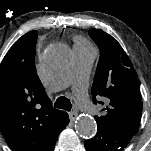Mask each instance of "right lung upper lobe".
Returning <instances> with one entry per match:
<instances>
[{"mask_svg":"<svg viewBox=\"0 0 151 151\" xmlns=\"http://www.w3.org/2000/svg\"><path fill=\"white\" fill-rule=\"evenodd\" d=\"M37 31L20 37L0 65V130L12 151H53L69 120L54 109L35 67Z\"/></svg>","mask_w":151,"mask_h":151,"instance_id":"1","label":"right lung upper lobe"}]
</instances>
